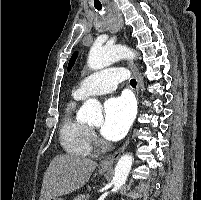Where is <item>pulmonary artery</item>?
Segmentation results:
<instances>
[{"label":"pulmonary artery","instance_id":"e3ab8cb5","mask_svg":"<svg viewBox=\"0 0 201 200\" xmlns=\"http://www.w3.org/2000/svg\"><path fill=\"white\" fill-rule=\"evenodd\" d=\"M127 77V73L118 67L98 71L85 77L73 94L80 98L106 94L115 90Z\"/></svg>","mask_w":201,"mask_h":200}]
</instances>
